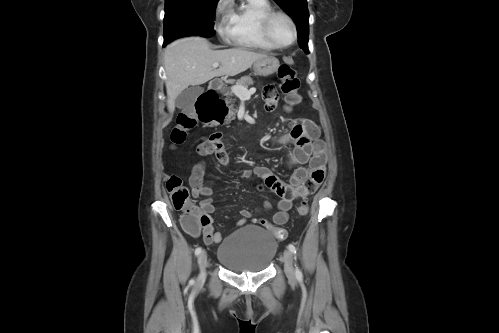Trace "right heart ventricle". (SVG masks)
Returning <instances> with one entry per match:
<instances>
[{"label":"right heart ventricle","mask_w":499,"mask_h":333,"mask_svg":"<svg viewBox=\"0 0 499 333\" xmlns=\"http://www.w3.org/2000/svg\"><path fill=\"white\" fill-rule=\"evenodd\" d=\"M228 8L229 39L233 45L262 51L275 49L262 31L264 16L274 10L270 0H242Z\"/></svg>","instance_id":"1"}]
</instances>
